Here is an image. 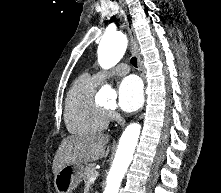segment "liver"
<instances>
[{"label": "liver", "instance_id": "obj_1", "mask_svg": "<svg viewBox=\"0 0 221 193\" xmlns=\"http://www.w3.org/2000/svg\"><path fill=\"white\" fill-rule=\"evenodd\" d=\"M109 136L98 133L90 135H72L61 142L54 156L52 169L56 174L64 166L96 161L106 157L109 148L106 145Z\"/></svg>", "mask_w": 221, "mask_h": 193}]
</instances>
